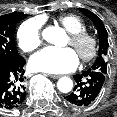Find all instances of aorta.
Wrapping results in <instances>:
<instances>
[{
    "label": "aorta",
    "instance_id": "762f6f07",
    "mask_svg": "<svg viewBox=\"0 0 117 117\" xmlns=\"http://www.w3.org/2000/svg\"><path fill=\"white\" fill-rule=\"evenodd\" d=\"M42 36L47 42L58 45L64 38L65 31L60 27H48ZM57 88L62 93H68L73 88V81L69 77H62L57 82Z\"/></svg>",
    "mask_w": 117,
    "mask_h": 117
}]
</instances>
